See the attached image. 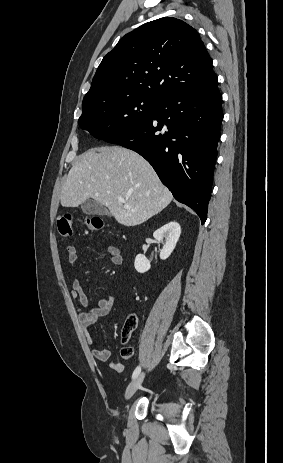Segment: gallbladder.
<instances>
[{
	"instance_id": "obj_1",
	"label": "gallbladder",
	"mask_w": 283,
	"mask_h": 463,
	"mask_svg": "<svg viewBox=\"0 0 283 463\" xmlns=\"http://www.w3.org/2000/svg\"><path fill=\"white\" fill-rule=\"evenodd\" d=\"M81 210L87 215H110L106 207L94 200H86L81 204Z\"/></svg>"
}]
</instances>
